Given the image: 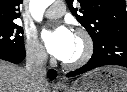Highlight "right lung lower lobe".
Listing matches in <instances>:
<instances>
[{
	"instance_id": "98d812e1",
	"label": "right lung lower lobe",
	"mask_w": 127,
	"mask_h": 92,
	"mask_svg": "<svg viewBox=\"0 0 127 92\" xmlns=\"http://www.w3.org/2000/svg\"><path fill=\"white\" fill-rule=\"evenodd\" d=\"M25 58V50H16L7 46H0V59L18 64ZM48 77L54 79L56 77L55 70L48 71Z\"/></svg>"
}]
</instances>
